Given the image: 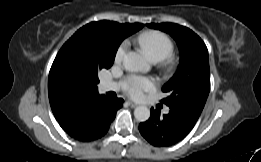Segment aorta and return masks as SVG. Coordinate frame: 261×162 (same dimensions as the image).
<instances>
[{
  "instance_id": "1",
  "label": "aorta",
  "mask_w": 261,
  "mask_h": 162,
  "mask_svg": "<svg viewBox=\"0 0 261 162\" xmlns=\"http://www.w3.org/2000/svg\"><path fill=\"white\" fill-rule=\"evenodd\" d=\"M124 67L131 72H146L150 69L147 59L139 52H129L123 59ZM135 118L145 122L150 117V110L146 106H138L134 110Z\"/></svg>"
}]
</instances>
